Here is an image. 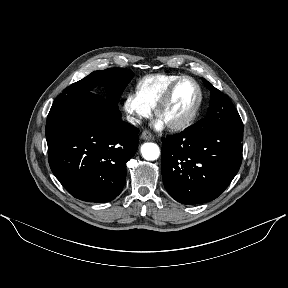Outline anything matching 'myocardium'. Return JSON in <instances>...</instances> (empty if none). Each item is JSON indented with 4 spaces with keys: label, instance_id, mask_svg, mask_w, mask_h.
Here are the masks:
<instances>
[{
    "label": "myocardium",
    "instance_id": "f54148a6",
    "mask_svg": "<svg viewBox=\"0 0 288 288\" xmlns=\"http://www.w3.org/2000/svg\"><path fill=\"white\" fill-rule=\"evenodd\" d=\"M184 80H189L195 85V87L197 89V98H196V101H195L192 109L184 118H182L181 120L176 121L174 123L167 124L168 128L171 130H174V131L183 130V129L189 127L195 121V119L199 113V110L201 108L202 99H203V93H202V89H201L200 84L191 76L182 75V76L178 77L177 79H175L168 86V88L166 89V91L164 92V94L162 95L160 100L158 101L157 105L155 106V114L158 118H160V115H161L163 109L170 102L176 87L178 86L179 83H181Z\"/></svg>",
    "mask_w": 288,
    "mask_h": 288
}]
</instances>
